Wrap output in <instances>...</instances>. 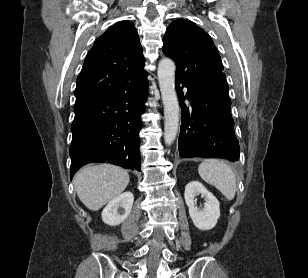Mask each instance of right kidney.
I'll list each match as a JSON object with an SVG mask.
<instances>
[{"instance_id":"right-kidney-1","label":"right kidney","mask_w":308,"mask_h":278,"mask_svg":"<svg viewBox=\"0 0 308 278\" xmlns=\"http://www.w3.org/2000/svg\"><path fill=\"white\" fill-rule=\"evenodd\" d=\"M134 202V196L127 191L110 201L102 211V220L110 226H116L124 222Z\"/></svg>"}]
</instances>
